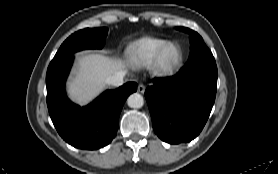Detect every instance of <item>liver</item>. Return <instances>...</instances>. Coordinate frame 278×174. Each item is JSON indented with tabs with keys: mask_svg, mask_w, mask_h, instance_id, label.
Listing matches in <instances>:
<instances>
[{
	"mask_svg": "<svg viewBox=\"0 0 278 174\" xmlns=\"http://www.w3.org/2000/svg\"><path fill=\"white\" fill-rule=\"evenodd\" d=\"M124 68L120 59L98 53L81 55L68 82L69 97L80 105L88 104L106 88L107 78Z\"/></svg>",
	"mask_w": 278,
	"mask_h": 174,
	"instance_id": "obj_1",
	"label": "liver"
}]
</instances>
